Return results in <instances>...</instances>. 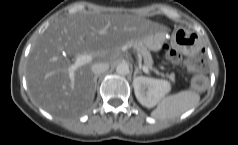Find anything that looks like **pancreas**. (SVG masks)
Returning <instances> with one entry per match:
<instances>
[{
	"label": "pancreas",
	"mask_w": 238,
	"mask_h": 145,
	"mask_svg": "<svg viewBox=\"0 0 238 145\" xmlns=\"http://www.w3.org/2000/svg\"><path fill=\"white\" fill-rule=\"evenodd\" d=\"M132 48L143 56L145 66H147L150 70L154 71L157 75L167 77L171 82L175 81V75L173 73L164 75L163 73H160L157 69L153 68L152 56L150 54V51L143 44V42L141 41L132 42Z\"/></svg>",
	"instance_id": "obj_1"
}]
</instances>
